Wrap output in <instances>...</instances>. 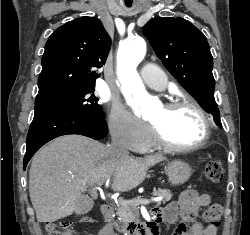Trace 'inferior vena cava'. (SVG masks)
I'll return each mask as SVG.
<instances>
[{"mask_svg":"<svg viewBox=\"0 0 250 235\" xmlns=\"http://www.w3.org/2000/svg\"><path fill=\"white\" fill-rule=\"evenodd\" d=\"M110 151L115 155H127L128 151L117 137L112 138Z\"/></svg>","mask_w":250,"mask_h":235,"instance_id":"obj_1","label":"inferior vena cava"}]
</instances>
